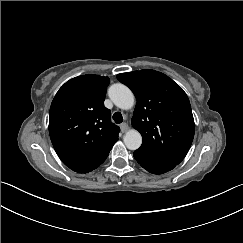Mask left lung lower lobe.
Wrapping results in <instances>:
<instances>
[{
  "label": "left lung lower lobe",
  "mask_w": 243,
  "mask_h": 243,
  "mask_svg": "<svg viewBox=\"0 0 243 243\" xmlns=\"http://www.w3.org/2000/svg\"><path fill=\"white\" fill-rule=\"evenodd\" d=\"M134 158L136 161L147 171L153 174H163L166 173L173 168H175L176 165L162 163L159 161L154 160L150 156L141 153L139 151L134 152Z\"/></svg>",
  "instance_id": "obj_1"
}]
</instances>
